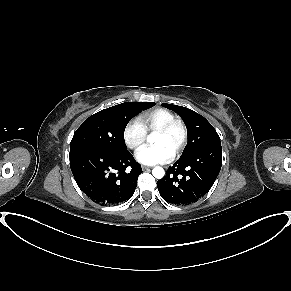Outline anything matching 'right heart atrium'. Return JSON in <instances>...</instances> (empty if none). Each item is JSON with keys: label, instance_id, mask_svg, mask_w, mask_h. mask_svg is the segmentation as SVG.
Wrapping results in <instances>:
<instances>
[{"label": "right heart atrium", "instance_id": "obj_1", "mask_svg": "<svg viewBox=\"0 0 291 291\" xmlns=\"http://www.w3.org/2000/svg\"><path fill=\"white\" fill-rule=\"evenodd\" d=\"M147 132L137 119L130 120L123 128L122 138L129 149H136L144 143Z\"/></svg>", "mask_w": 291, "mask_h": 291}]
</instances>
